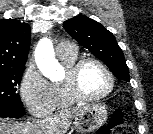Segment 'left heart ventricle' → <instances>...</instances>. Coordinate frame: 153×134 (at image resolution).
<instances>
[{"label": "left heart ventricle", "instance_id": "1", "mask_svg": "<svg viewBox=\"0 0 153 134\" xmlns=\"http://www.w3.org/2000/svg\"><path fill=\"white\" fill-rule=\"evenodd\" d=\"M80 89L86 95H99L109 87V79L105 72L96 64L84 66L80 73Z\"/></svg>", "mask_w": 153, "mask_h": 134}]
</instances>
